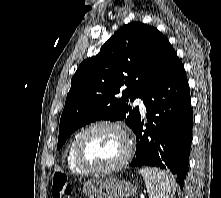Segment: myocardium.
Wrapping results in <instances>:
<instances>
[{
	"mask_svg": "<svg viewBox=\"0 0 221 198\" xmlns=\"http://www.w3.org/2000/svg\"><path fill=\"white\" fill-rule=\"evenodd\" d=\"M98 128H109V129H114L118 131L122 137L125 140V152L121 159L110 166L107 167H93L89 164H87L81 155V142L84 139V137L91 131L98 129ZM133 152V142L132 139L129 135V133L126 131V129L121 126L120 124L116 122H111V121H99L95 122L86 128H84L75 138L74 145H73V156L76 164L85 172L89 174H94V175H104V174H109L116 172L120 169H122L130 160Z\"/></svg>",
	"mask_w": 221,
	"mask_h": 198,
	"instance_id": "f54148a6",
	"label": "myocardium"
}]
</instances>
